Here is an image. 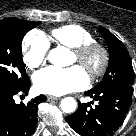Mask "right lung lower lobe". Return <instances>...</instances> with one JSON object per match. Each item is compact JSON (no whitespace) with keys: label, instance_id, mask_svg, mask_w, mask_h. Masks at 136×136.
I'll return each instance as SVG.
<instances>
[{"label":"right lung lower lobe","instance_id":"1","mask_svg":"<svg viewBox=\"0 0 136 136\" xmlns=\"http://www.w3.org/2000/svg\"><path fill=\"white\" fill-rule=\"evenodd\" d=\"M31 82L28 79L11 91H0V136H29L35 128L38 105L46 100L44 95L27 104H16L13 97L18 93L28 94Z\"/></svg>","mask_w":136,"mask_h":136}]
</instances>
